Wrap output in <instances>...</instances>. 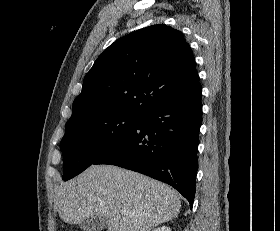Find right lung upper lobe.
I'll use <instances>...</instances> for the list:
<instances>
[{"label": "right lung upper lobe", "mask_w": 280, "mask_h": 231, "mask_svg": "<svg viewBox=\"0 0 280 231\" xmlns=\"http://www.w3.org/2000/svg\"><path fill=\"white\" fill-rule=\"evenodd\" d=\"M201 91L183 34L165 24L152 25L117 40L97 58L70 119L142 116L161 103Z\"/></svg>", "instance_id": "cb5924a9"}]
</instances>
